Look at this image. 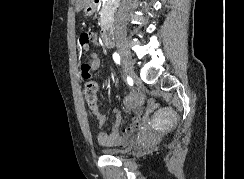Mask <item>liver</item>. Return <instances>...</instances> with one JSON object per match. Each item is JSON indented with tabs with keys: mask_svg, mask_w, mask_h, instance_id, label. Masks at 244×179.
I'll list each match as a JSON object with an SVG mask.
<instances>
[{
	"mask_svg": "<svg viewBox=\"0 0 244 179\" xmlns=\"http://www.w3.org/2000/svg\"><path fill=\"white\" fill-rule=\"evenodd\" d=\"M92 0H75V10L76 12H81L82 8L86 6V4H90Z\"/></svg>",
	"mask_w": 244,
	"mask_h": 179,
	"instance_id": "1",
	"label": "liver"
}]
</instances>
